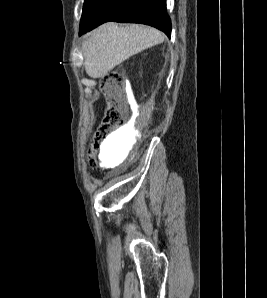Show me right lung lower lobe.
I'll return each instance as SVG.
<instances>
[{
	"mask_svg": "<svg viewBox=\"0 0 267 298\" xmlns=\"http://www.w3.org/2000/svg\"><path fill=\"white\" fill-rule=\"evenodd\" d=\"M107 21L147 24L171 35L165 0H105L89 21L80 24L79 34Z\"/></svg>",
	"mask_w": 267,
	"mask_h": 298,
	"instance_id": "98d812e1",
	"label": "right lung lower lobe"
}]
</instances>
